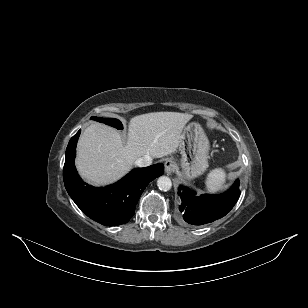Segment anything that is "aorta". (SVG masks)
I'll return each mask as SVG.
<instances>
[{
	"label": "aorta",
	"mask_w": 308,
	"mask_h": 308,
	"mask_svg": "<svg viewBox=\"0 0 308 308\" xmlns=\"http://www.w3.org/2000/svg\"><path fill=\"white\" fill-rule=\"evenodd\" d=\"M157 186L162 191H168L172 187L171 179L167 176H161L157 180Z\"/></svg>",
	"instance_id": "obj_1"
}]
</instances>
